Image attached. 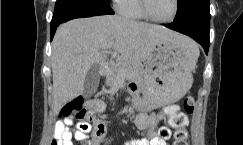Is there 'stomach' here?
I'll return each mask as SVG.
<instances>
[{
  "label": "stomach",
  "instance_id": "0dacf381",
  "mask_svg": "<svg viewBox=\"0 0 243 145\" xmlns=\"http://www.w3.org/2000/svg\"><path fill=\"white\" fill-rule=\"evenodd\" d=\"M198 56L199 49L191 40L181 46L159 43L147 60L143 73L146 94L144 98H137V103L161 107L180 100L192 86V71Z\"/></svg>",
  "mask_w": 243,
  "mask_h": 145
}]
</instances>
